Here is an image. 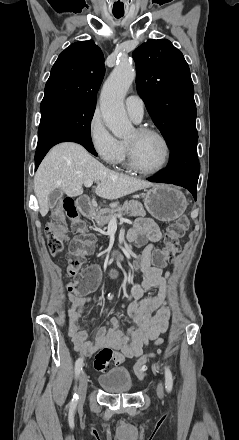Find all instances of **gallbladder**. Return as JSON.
<instances>
[{
  "label": "gallbladder",
  "mask_w": 239,
  "mask_h": 440,
  "mask_svg": "<svg viewBox=\"0 0 239 440\" xmlns=\"http://www.w3.org/2000/svg\"><path fill=\"white\" fill-rule=\"evenodd\" d=\"M62 196L63 192H61V190H53V192H50V194H48V208H50V210L55 208L57 202L61 200Z\"/></svg>",
  "instance_id": "obj_1"
}]
</instances>
